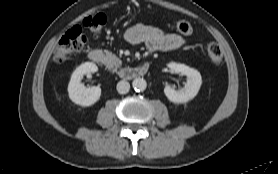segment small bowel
Returning a JSON list of instances; mask_svg holds the SVG:
<instances>
[{"mask_svg":"<svg viewBox=\"0 0 278 174\" xmlns=\"http://www.w3.org/2000/svg\"><path fill=\"white\" fill-rule=\"evenodd\" d=\"M125 40L130 44H144L149 51H171L183 47L185 39L175 33H166L153 26L138 24L127 30Z\"/></svg>","mask_w":278,"mask_h":174,"instance_id":"small-bowel-1","label":"small bowel"}]
</instances>
